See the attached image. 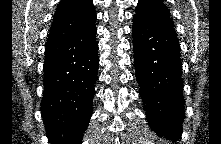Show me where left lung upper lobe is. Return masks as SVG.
<instances>
[{"mask_svg": "<svg viewBox=\"0 0 221 144\" xmlns=\"http://www.w3.org/2000/svg\"><path fill=\"white\" fill-rule=\"evenodd\" d=\"M134 17L173 27L169 9L162 0H139Z\"/></svg>", "mask_w": 221, "mask_h": 144, "instance_id": "left-lung-upper-lobe-1", "label": "left lung upper lobe"}]
</instances>
